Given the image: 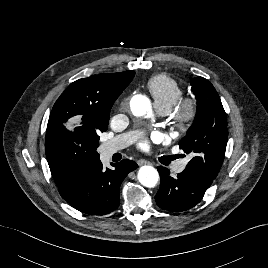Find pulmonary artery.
<instances>
[{
	"instance_id": "1",
	"label": "pulmonary artery",
	"mask_w": 268,
	"mask_h": 268,
	"mask_svg": "<svg viewBox=\"0 0 268 268\" xmlns=\"http://www.w3.org/2000/svg\"><path fill=\"white\" fill-rule=\"evenodd\" d=\"M162 115H166L167 112L165 110L160 111ZM136 138L135 133L127 132L120 135H117L107 142H105L102 146V153L104 155H111L112 153L123 149L130 145ZM186 166V161L177 162L173 165V171L176 173H181Z\"/></svg>"
}]
</instances>
